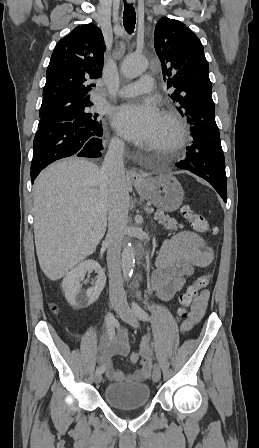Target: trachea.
<instances>
[{"mask_svg":"<svg viewBox=\"0 0 259 448\" xmlns=\"http://www.w3.org/2000/svg\"><path fill=\"white\" fill-rule=\"evenodd\" d=\"M125 1L124 5V14H123V22L125 30L131 34L134 31L135 28V21H136V14L135 9L133 8L132 4H128Z\"/></svg>","mask_w":259,"mask_h":448,"instance_id":"3493384b","label":"trachea"}]
</instances>
